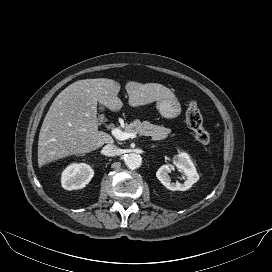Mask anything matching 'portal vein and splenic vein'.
<instances>
[{
  "label": "portal vein and splenic vein",
  "instance_id": "1",
  "mask_svg": "<svg viewBox=\"0 0 272 272\" xmlns=\"http://www.w3.org/2000/svg\"><path fill=\"white\" fill-rule=\"evenodd\" d=\"M112 135L118 139V140H127L129 138H136L137 134L136 133H131V132H125L120 130L119 128H113L111 131Z\"/></svg>",
  "mask_w": 272,
  "mask_h": 272
}]
</instances>
